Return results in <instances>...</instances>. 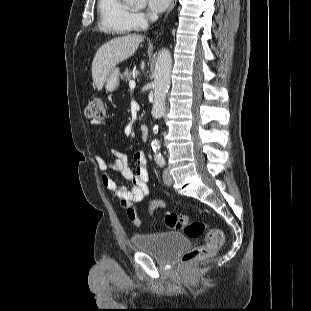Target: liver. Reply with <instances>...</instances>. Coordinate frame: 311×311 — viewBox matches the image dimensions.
Segmentation results:
<instances>
[{
	"instance_id": "1",
	"label": "liver",
	"mask_w": 311,
	"mask_h": 311,
	"mask_svg": "<svg viewBox=\"0 0 311 311\" xmlns=\"http://www.w3.org/2000/svg\"><path fill=\"white\" fill-rule=\"evenodd\" d=\"M143 40L142 35L130 34L112 39L98 49L92 62V78L98 90H102L116 65L134 55Z\"/></svg>"
}]
</instances>
